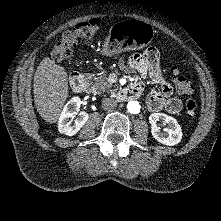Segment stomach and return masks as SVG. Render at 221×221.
Here are the masks:
<instances>
[{
  "instance_id": "stomach-1",
  "label": "stomach",
  "mask_w": 221,
  "mask_h": 221,
  "mask_svg": "<svg viewBox=\"0 0 221 221\" xmlns=\"http://www.w3.org/2000/svg\"><path fill=\"white\" fill-rule=\"evenodd\" d=\"M154 35V29L150 24L130 18L124 19L111 29L104 42L102 54L113 56L122 51H137L149 45Z\"/></svg>"
}]
</instances>
